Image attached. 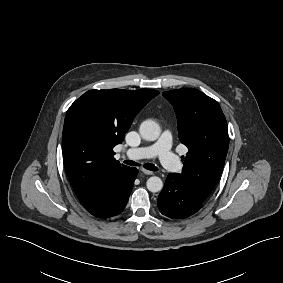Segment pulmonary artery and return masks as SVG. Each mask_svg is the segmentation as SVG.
<instances>
[{"instance_id":"pulmonary-artery-1","label":"pulmonary artery","mask_w":283,"mask_h":283,"mask_svg":"<svg viewBox=\"0 0 283 283\" xmlns=\"http://www.w3.org/2000/svg\"><path fill=\"white\" fill-rule=\"evenodd\" d=\"M172 134L165 130L160 138L146 146L129 149L125 155L130 159H144L158 157L162 166L172 172H178L182 168L181 161L171 150Z\"/></svg>"}]
</instances>
